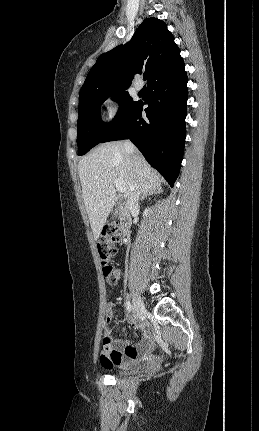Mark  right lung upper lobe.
<instances>
[{"label": "right lung upper lobe", "instance_id": "cb5924a9", "mask_svg": "<svg viewBox=\"0 0 259 431\" xmlns=\"http://www.w3.org/2000/svg\"><path fill=\"white\" fill-rule=\"evenodd\" d=\"M182 63L180 49L166 23L147 18L128 43L97 59L80 90V101L90 94L127 89L134 74L142 70L148 73L149 84Z\"/></svg>", "mask_w": 259, "mask_h": 431}]
</instances>
